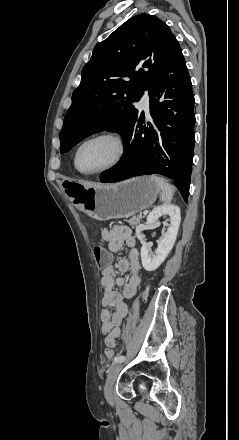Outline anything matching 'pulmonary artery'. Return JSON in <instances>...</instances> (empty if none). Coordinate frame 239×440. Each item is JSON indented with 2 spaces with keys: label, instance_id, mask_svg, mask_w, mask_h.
Segmentation results:
<instances>
[{
  "label": "pulmonary artery",
  "instance_id": "obj_1",
  "mask_svg": "<svg viewBox=\"0 0 239 440\" xmlns=\"http://www.w3.org/2000/svg\"><path fill=\"white\" fill-rule=\"evenodd\" d=\"M149 103H150V97L146 93L142 96V98L138 104L139 109L143 110L146 115H149Z\"/></svg>",
  "mask_w": 239,
  "mask_h": 440
}]
</instances>
